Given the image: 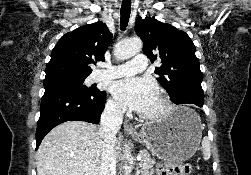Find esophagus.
Instances as JSON below:
<instances>
[{
  "instance_id": "obj_1",
  "label": "esophagus",
  "mask_w": 251,
  "mask_h": 175,
  "mask_svg": "<svg viewBox=\"0 0 251 175\" xmlns=\"http://www.w3.org/2000/svg\"><path fill=\"white\" fill-rule=\"evenodd\" d=\"M124 128L127 130H132V127L128 125L127 123L124 124Z\"/></svg>"
}]
</instances>
